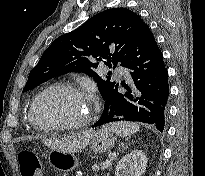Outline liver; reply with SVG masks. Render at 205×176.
I'll return each instance as SVG.
<instances>
[{
    "mask_svg": "<svg viewBox=\"0 0 205 176\" xmlns=\"http://www.w3.org/2000/svg\"><path fill=\"white\" fill-rule=\"evenodd\" d=\"M90 137L91 131H88L67 138L47 140L45 144L53 149L74 153L84 149L89 143Z\"/></svg>",
    "mask_w": 205,
    "mask_h": 176,
    "instance_id": "obj_1",
    "label": "liver"
}]
</instances>
